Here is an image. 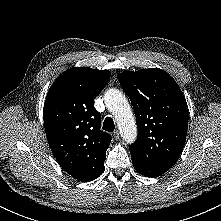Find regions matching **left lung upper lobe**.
Here are the masks:
<instances>
[{"label": "left lung upper lobe", "mask_w": 221, "mask_h": 221, "mask_svg": "<svg viewBox=\"0 0 221 221\" xmlns=\"http://www.w3.org/2000/svg\"><path fill=\"white\" fill-rule=\"evenodd\" d=\"M118 80L134 108L138 137L132 160L171 168L185 144L188 107L175 80L159 68L120 73Z\"/></svg>", "instance_id": "5c2ea615"}]
</instances>
